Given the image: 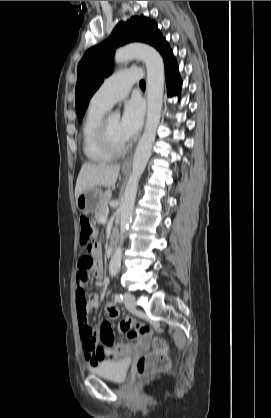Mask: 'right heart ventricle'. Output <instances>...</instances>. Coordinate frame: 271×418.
Listing matches in <instances>:
<instances>
[{"label": "right heart ventricle", "mask_w": 271, "mask_h": 418, "mask_svg": "<svg viewBox=\"0 0 271 418\" xmlns=\"http://www.w3.org/2000/svg\"><path fill=\"white\" fill-rule=\"evenodd\" d=\"M108 108L90 103L85 115L81 136L82 148L86 158L94 163L110 161L113 155L101 148L97 140V129L101 120L105 117Z\"/></svg>", "instance_id": "e07e8e85"}]
</instances>
